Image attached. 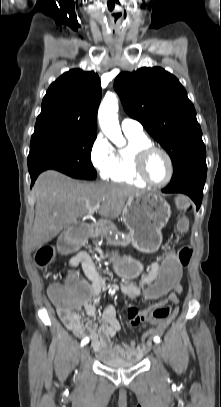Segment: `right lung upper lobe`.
Listing matches in <instances>:
<instances>
[{"label": "right lung upper lobe", "instance_id": "cb5924a9", "mask_svg": "<svg viewBox=\"0 0 221 407\" xmlns=\"http://www.w3.org/2000/svg\"><path fill=\"white\" fill-rule=\"evenodd\" d=\"M100 101L98 75L81 69L70 70L50 85L35 131L59 129L96 135Z\"/></svg>", "mask_w": 221, "mask_h": 407}]
</instances>
